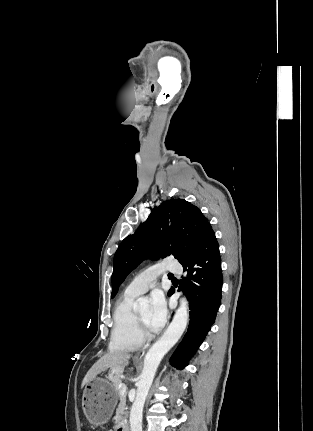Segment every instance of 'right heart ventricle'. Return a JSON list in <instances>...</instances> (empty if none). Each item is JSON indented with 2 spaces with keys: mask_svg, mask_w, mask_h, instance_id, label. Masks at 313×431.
Segmentation results:
<instances>
[{
  "mask_svg": "<svg viewBox=\"0 0 313 431\" xmlns=\"http://www.w3.org/2000/svg\"><path fill=\"white\" fill-rule=\"evenodd\" d=\"M135 295L124 293L116 302L113 312V328L110 348L114 351H133L142 340L137 334L135 310L133 302Z\"/></svg>",
  "mask_w": 313,
  "mask_h": 431,
  "instance_id": "right-heart-ventricle-1",
  "label": "right heart ventricle"
}]
</instances>
